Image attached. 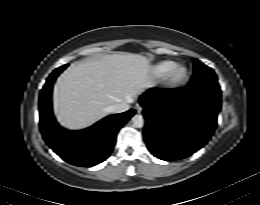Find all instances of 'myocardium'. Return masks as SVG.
I'll list each match as a JSON object with an SVG mask.
<instances>
[{
  "label": "myocardium",
  "mask_w": 260,
  "mask_h": 205,
  "mask_svg": "<svg viewBox=\"0 0 260 205\" xmlns=\"http://www.w3.org/2000/svg\"><path fill=\"white\" fill-rule=\"evenodd\" d=\"M182 71L181 74L179 72ZM190 73L186 66L175 65L165 76L164 84L168 89H176L185 84L189 79Z\"/></svg>",
  "instance_id": "obj_1"
}]
</instances>
